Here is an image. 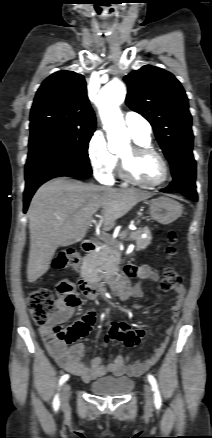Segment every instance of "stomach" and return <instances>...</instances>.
Segmentation results:
<instances>
[{
	"label": "stomach",
	"mask_w": 212,
	"mask_h": 438,
	"mask_svg": "<svg viewBox=\"0 0 212 438\" xmlns=\"http://www.w3.org/2000/svg\"><path fill=\"white\" fill-rule=\"evenodd\" d=\"M181 214V204L173 199L162 196L151 202L150 215L160 224H170L179 218Z\"/></svg>",
	"instance_id": "stomach-1"
}]
</instances>
